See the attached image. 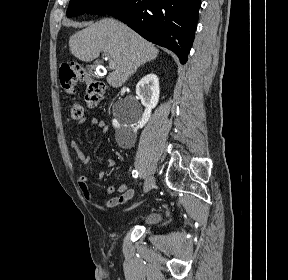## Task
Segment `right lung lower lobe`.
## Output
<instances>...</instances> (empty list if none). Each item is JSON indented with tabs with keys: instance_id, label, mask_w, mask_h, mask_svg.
Returning a JSON list of instances; mask_svg holds the SVG:
<instances>
[{
	"instance_id": "1",
	"label": "right lung lower lobe",
	"mask_w": 288,
	"mask_h": 280,
	"mask_svg": "<svg viewBox=\"0 0 288 280\" xmlns=\"http://www.w3.org/2000/svg\"><path fill=\"white\" fill-rule=\"evenodd\" d=\"M201 0H126L107 11L142 37L173 51L185 64Z\"/></svg>"
}]
</instances>
